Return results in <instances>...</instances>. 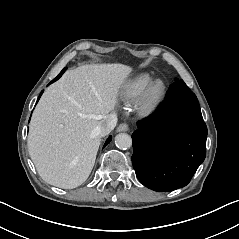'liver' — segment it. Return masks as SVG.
Returning a JSON list of instances; mask_svg holds the SVG:
<instances>
[{"mask_svg": "<svg viewBox=\"0 0 239 239\" xmlns=\"http://www.w3.org/2000/svg\"><path fill=\"white\" fill-rule=\"evenodd\" d=\"M122 65L67 71L42 95L30 123L28 150L41 178L72 189L89 177L101 143L98 126L113 108Z\"/></svg>", "mask_w": 239, "mask_h": 239, "instance_id": "obj_1", "label": "liver"}]
</instances>
